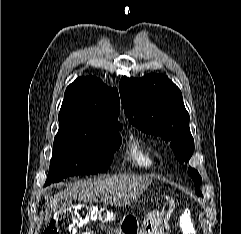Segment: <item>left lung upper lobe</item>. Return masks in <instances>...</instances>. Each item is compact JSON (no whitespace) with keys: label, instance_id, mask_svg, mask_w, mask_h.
Instances as JSON below:
<instances>
[{"label":"left lung upper lobe","instance_id":"1","mask_svg":"<svg viewBox=\"0 0 241 234\" xmlns=\"http://www.w3.org/2000/svg\"><path fill=\"white\" fill-rule=\"evenodd\" d=\"M119 92L130 123L145 133L161 136L180 163L188 162L194 139L180 89L167 76L151 73L139 79L122 77ZM188 174L195 182V193L203 196L199 173L189 167Z\"/></svg>","mask_w":241,"mask_h":234}]
</instances>
